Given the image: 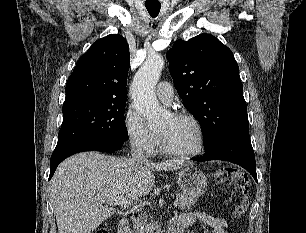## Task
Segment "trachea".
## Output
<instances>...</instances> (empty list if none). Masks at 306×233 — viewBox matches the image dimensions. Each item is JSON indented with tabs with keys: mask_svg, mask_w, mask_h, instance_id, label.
<instances>
[{
	"mask_svg": "<svg viewBox=\"0 0 306 233\" xmlns=\"http://www.w3.org/2000/svg\"><path fill=\"white\" fill-rule=\"evenodd\" d=\"M145 6L151 17H156L160 12V4H145Z\"/></svg>",
	"mask_w": 306,
	"mask_h": 233,
	"instance_id": "obj_1",
	"label": "trachea"
}]
</instances>
